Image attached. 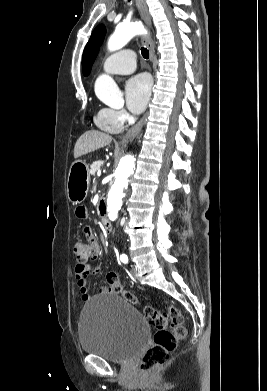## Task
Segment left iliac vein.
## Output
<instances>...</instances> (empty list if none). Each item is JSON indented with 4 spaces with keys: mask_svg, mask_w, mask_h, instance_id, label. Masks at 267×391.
I'll return each mask as SVG.
<instances>
[{
    "mask_svg": "<svg viewBox=\"0 0 267 391\" xmlns=\"http://www.w3.org/2000/svg\"><path fill=\"white\" fill-rule=\"evenodd\" d=\"M131 274H132L133 277H136V275H137V268L135 266L132 267Z\"/></svg>",
    "mask_w": 267,
    "mask_h": 391,
    "instance_id": "obj_1",
    "label": "left iliac vein"
}]
</instances>
